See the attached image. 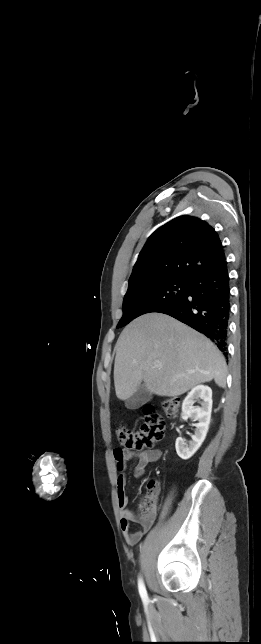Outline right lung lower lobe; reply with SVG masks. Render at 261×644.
I'll return each mask as SVG.
<instances>
[{
	"mask_svg": "<svg viewBox=\"0 0 261 644\" xmlns=\"http://www.w3.org/2000/svg\"><path fill=\"white\" fill-rule=\"evenodd\" d=\"M170 315L210 338L224 352L230 317V287L226 260L193 275L186 294L158 311Z\"/></svg>",
	"mask_w": 261,
	"mask_h": 644,
	"instance_id": "obj_1",
	"label": "right lung lower lobe"
}]
</instances>
